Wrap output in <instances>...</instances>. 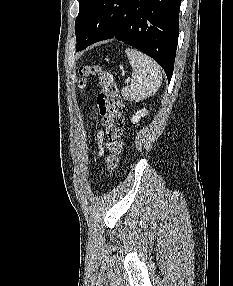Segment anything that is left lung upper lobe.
<instances>
[{
    "label": "left lung upper lobe",
    "mask_w": 233,
    "mask_h": 286,
    "mask_svg": "<svg viewBox=\"0 0 233 286\" xmlns=\"http://www.w3.org/2000/svg\"><path fill=\"white\" fill-rule=\"evenodd\" d=\"M99 0H79V14L75 21V34L78 38Z\"/></svg>",
    "instance_id": "5c2ea615"
}]
</instances>
